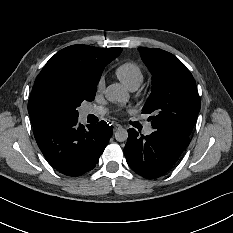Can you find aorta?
Instances as JSON below:
<instances>
[{
  "instance_id": "obj_1",
  "label": "aorta",
  "mask_w": 233,
  "mask_h": 233,
  "mask_svg": "<svg viewBox=\"0 0 233 233\" xmlns=\"http://www.w3.org/2000/svg\"><path fill=\"white\" fill-rule=\"evenodd\" d=\"M105 98L110 102H128L129 95L127 90L120 84L114 83L109 85L105 90ZM115 139L119 142H124L128 138V132L126 129L121 128L115 131Z\"/></svg>"
}]
</instances>
